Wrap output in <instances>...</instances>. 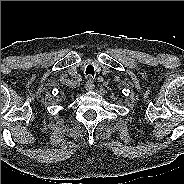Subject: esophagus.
I'll return each instance as SVG.
<instances>
[{
  "label": "esophagus",
  "instance_id": "1",
  "mask_svg": "<svg viewBox=\"0 0 184 184\" xmlns=\"http://www.w3.org/2000/svg\"><path fill=\"white\" fill-rule=\"evenodd\" d=\"M85 88H86L87 91H93L94 90L93 79L89 78V80L85 84Z\"/></svg>",
  "mask_w": 184,
  "mask_h": 184
}]
</instances>
